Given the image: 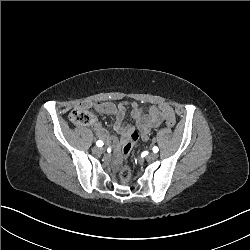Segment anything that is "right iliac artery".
Instances as JSON below:
<instances>
[{
	"mask_svg": "<svg viewBox=\"0 0 250 250\" xmlns=\"http://www.w3.org/2000/svg\"><path fill=\"white\" fill-rule=\"evenodd\" d=\"M103 144H104V143H103L101 140H98V141L96 142V145H97L98 147H102Z\"/></svg>",
	"mask_w": 250,
	"mask_h": 250,
	"instance_id": "82829eb1",
	"label": "right iliac artery"
}]
</instances>
